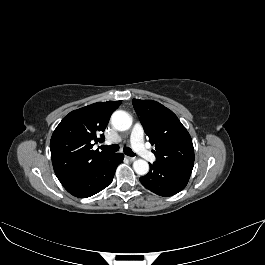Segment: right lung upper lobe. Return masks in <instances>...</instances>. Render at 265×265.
<instances>
[{
	"instance_id": "cb5924a9",
	"label": "right lung upper lobe",
	"mask_w": 265,
	"mask_h": 265,
	"mask_svg": "<svg viewBox=\"0 0 265 265\" xmlns=\"http://www.w3.org/2000/svg\"><path fill=\"white\" fill-rule=\"evenodd\" d=\"M120 104L121 101L97 102L74 110L62 119L50 141L52 164L60 182L108 155L94 151L92 147L94 142L104 141V135L100 133Z\"/></svg>"
}]
</instances>
